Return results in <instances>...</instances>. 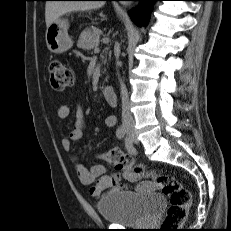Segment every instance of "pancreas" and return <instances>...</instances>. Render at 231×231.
<instances>
[{"instance_id": "pancreas-1", "label": "pancreas", "mask_w": 231, "mask_h": 231, "mask_svg": "<svg viewBox=\"0 0 231 231\" xmlns=\"http://www.w3.org/2000/svg\"><path fill=\"white\" fill-rule=\"evenodd\" d=\"M98 43V33L95 30L87 28L80 34L77 42V47L85 50H91L93 48H96L98 46Z\"/></svg>"}]
</instances>
